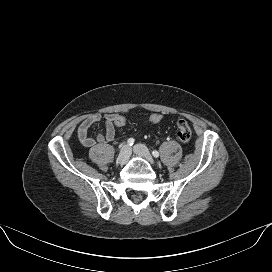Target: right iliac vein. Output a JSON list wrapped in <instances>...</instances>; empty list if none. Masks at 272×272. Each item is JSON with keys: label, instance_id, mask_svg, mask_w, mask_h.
Instances as JSON below:
<instances>
[{"label": "right iliac vein", "instance_id": "right-iliac-vein-1", "mask_svg": "<svg viewBox=\"0 0 272 272\" xmlns=\"http://www.w3.org/2000/svg\"><path fill=\"white\" fill-rule=\"evenodd\" d=\"M130 154V147L128 145H123L118 155L117 163L120 165L126 164L129 160Z\"/></svg>", "mask_w": 272, "mask_h": 272}]
</instances>
